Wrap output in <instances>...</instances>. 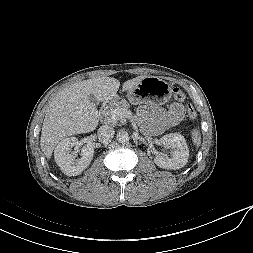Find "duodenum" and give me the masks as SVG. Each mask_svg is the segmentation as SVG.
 I'll return each mask as SVG.
<instances>
[{
    "instance_id": "duodenum-1",
    "label": "duodenum",
    "mask_w": 253,
    "mask_h": 253,
    "mask_svg": "<svg viewBox=\"0 0 253 253\" xmlns=\"http://www.w3.org/2000/svg\"><path fill=\"white\" fill-rule=\"evenodd\" d=\"M110 104H111V100L105 101V102L103 103L102 109H103V110H106V109L109 107Z\"/></svg>"
}]
</instances>
